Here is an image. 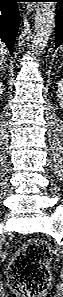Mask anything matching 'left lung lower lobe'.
<instances>
[{
  "instance_id": "obj_1",
  "label": "left lung lower lobe",
  "mask_w": 63,
  "mask_h": 297,
  "mask_svg": "<svg viewBox=\"0 0 63 297\" xmlns=\"http://www.w3.org/2000/svg\"><path fill=\"white\" fill-rule=\"evenodd\" d=\"M58 2L56 7V27H55V49L63 44V0H50Z\"/></svg>"
}]
</instances>
